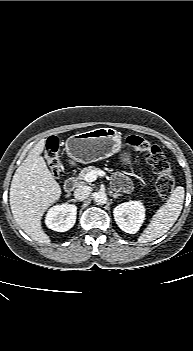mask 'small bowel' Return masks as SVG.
I'll return each instance as SVG.
<instances>
[{
  "label": "small bowel",
  "instance_id": "small-bowel-1",
  "mask_svg": "<svg viewBox=\"0 0 193 351\" xmlns=\"http://www.w3.org/2000/svg\"><path fill=\"white\" fill-rule=\"evenodd\" d=\"M113 184L117 187H121L122 189L127 190L129 188V183L127 182L124 175L121 173H116L113 176Z\"/></svg>",
  "mask_w": 193,
  "mask_h": 351
}]
</instances>
